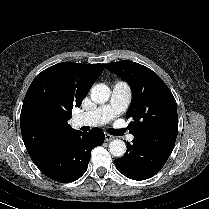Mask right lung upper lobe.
Instances as JSON below:
<instances>
[{
  "instance_id": "1",
  "label": "right lung upper lobe",
  "mask_w": 209,
  "mask_h": 209,
  "mask_svg": "<svg viewBox=\"0 0 209 209\" xmlns=\"http://www.w3.org/2000/svg\"><path fill=\"white\" fill-rule=\"evenodd\" d=\"M104 68L103 64L62 62L45 69L32 81L23 101L20 126L35 164L75 131L68 125L71 110L81 105Z\"/></svg>"
}]
</instances>
